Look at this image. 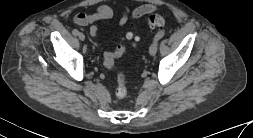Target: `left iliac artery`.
Returning a JSON list of instances; mask_svg holds the SVG:
<instances>
[{"instance_id": "44dca946", "label": "left iliac artery", "mask_w": 253, "mask_h": 138, "mask_svg": "<svg viewBox=\"0 0 253 138\" xmlns=\"http://www.w3.org/2000/svg\"><path fill=\"white\" fill-rule=\"evenodd\" d=\"M164 31H160L155 35L154 40L159 41L164 36Z\"/></svg>"}]
</instances>
